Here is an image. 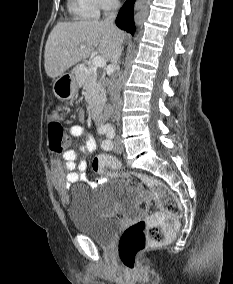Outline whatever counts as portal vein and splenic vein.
<instances>
[{
	"instance_id": "portal-vein-and-splenic-vein-1",
	"label": "portal vein and splenic vein",
	"mask_w": 233,
	"mask_h": 284,
	"mask_svg": "<svg viewBox=\"0 0 233 284\" xmlns=\"http://www.w3.org/2000/svg\"><path fill=\"white\" fill-rule=\"evenodd\" d=\"M81 48H84V46H81ZM106 64V61L104 60L103 57L101 56H96L93 58L92 60V65L95 67V68H101V67H104Z\"/></svg>"
}]
</instances>
